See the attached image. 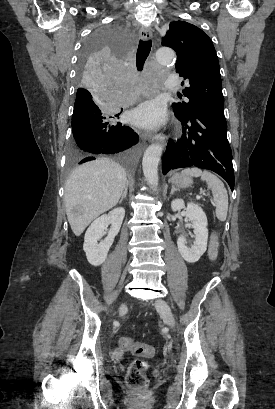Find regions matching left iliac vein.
Returning a JSON list of instances; mask_svg holds the SVG:
<instances>
[{
  "label": "left iliac vein",
  "mask_w": 275,
  "mask_h": 409,
  "mask_svg": "<svg viewBox=\"0 0 275 409\" xmlns=\"http://www.w3.org/2000/svg\"><path fill=\"white\" fill-rule=\"evenodd\" d=\"M156 309L163 316L164 322L173 329L175 327V318L168 303L159 298L156 301Z\"/></svg>",
  "instance_id": "4c4485c4"
}]
</instances>
